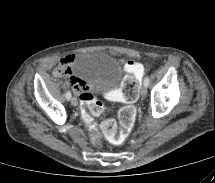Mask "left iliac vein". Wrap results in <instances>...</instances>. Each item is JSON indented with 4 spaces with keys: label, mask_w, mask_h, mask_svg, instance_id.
Returning <instances> with one entry per match:
<instances>
[{
    "label": "left iliac vein",
    "mask_w": 215,
    "mask_h": 183,
    "mask_svg": "<svg viewBox=\"0 0 215 183\" xmlns=\"http://www.w3.org/2000/svg\"><path fill=\"white\" fill-rule=\"evenodd\" d=\"M141 96H146L147 94V87L144 85L140 90Z\"/></svg>",
    "instance_id": "4c4485c4"
}]
</instances>
